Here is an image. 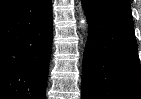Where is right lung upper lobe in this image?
<instances>
[{
	"instance_id": "obj_1",
	"label": "right lung upper lobe",
	"mask_w": 141,
	"mask_h": 99,
	"mask_svg": "<svg viewBox=\"0 0 141 99\" xmlns=\"http://www.w3.org/2000/svg\"><path fill=\"white\" fill-rule=\"evenodd\" d=\"M14 1L15 0H0V8L6 6Z\"/></svg>"
}]
</instances>
